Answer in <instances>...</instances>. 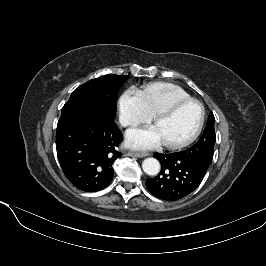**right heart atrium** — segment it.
I'll return each instance as SVG.
<instances>
[{
	"label": "right heart atrium",
	"mask_w": 266,
	"mask_h": 266,
	"mask_svg": "<svg viewBox=\"0 0 266 266\" xmlns=\"http://www.w3.org/2000/svg\"><path fill=\"white\" fill-rule=\"evenodd\" d=\"M152 118L142 93L135 89H127L119 100V119L123 126H135L149 122Z\"/></svg>",
	"instance_id": "1"
}]
</instances>
